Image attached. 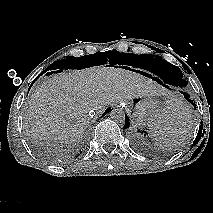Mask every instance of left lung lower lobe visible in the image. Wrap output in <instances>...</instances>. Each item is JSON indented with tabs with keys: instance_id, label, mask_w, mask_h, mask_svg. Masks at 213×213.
I'll return each instance as SVG.
<instances>
[{
	"instance_id": "left-lung-lower-lobe-1",
	"label": "left lung lower lobe",
	"mask_w": 213,
	"mask_h": 213,
	"mask_svg": "<svg viewBox=\"0 0 213 213\" xmlns=\"http://www.w3.org/2000/svg\"><path fill=\"white\" fill-rule=\"evenodd\" d=\"M152 73H154L156 76L152 77V79L156 82H158L159 84L163 85L166 88H169V86H174V83L165 75L157 73L155 71H151ZM142 74H145L148 77H151V74H147L144 72H141ZM181 92V91H180ZM184 94V97L194 106L195 108V103H193L192 100L189 99V94L181 92ZM129 127V118L126 115V119H125V126L124 128Z\"/></svg>"
}]
</instances>
